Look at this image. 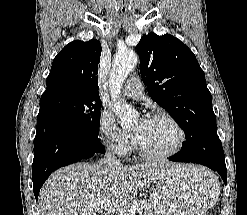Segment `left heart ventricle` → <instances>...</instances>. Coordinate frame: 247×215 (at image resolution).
I'll return each instance as SVG.
<instances>
[{"instance_id":"1","label":"left heart ventricle","mask_w":247,"mask_h":215,"mask_svg":"<svg viewBox=\"0 0 247 215\" xmlns=\"http://www.w3.org/2000/svg\"><path fill=\"white\" fill-rule=\"evenodd\" d=\"M133 132L141 144L153 153L170 151L178 142L176 129L162 119H149L145 125L138 121L133 127Z\"/></svg>"}]
</instances>
